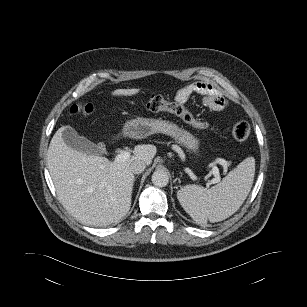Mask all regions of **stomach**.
I'll use <instances>...</instances> for the list:
<instances>
[{
  "instance_id": "1",
  "label": "stomach",
  "mask_w": 307,
  "mask_h": 307,
  "mask_svg": "<svg viewBox=\"0 0 307 307\" xmlns=\"http://www.w3.org/2000/svg\"><path fill=\"white\" fill-rule=\"evenodd\" d=\"M154 133H164L172 136L179 144L195 156H200V142L188 131L173 122L161 118H136L124 124L123 134L141 139Z\"/></svg>"
}]
</instances>
